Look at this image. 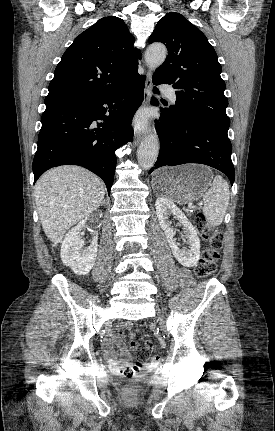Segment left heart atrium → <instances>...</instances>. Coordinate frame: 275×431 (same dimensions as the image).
<instances>
[{
  "label": "left heart atrium",
  "mask_w": 275,
  "mask_h": 431,
  "mask_svg": "<svg viewBox=\"0 0 275 431\" xmlns=\"http://www.w3.org/2000/svg\"><path fill=\"white\" fill-rule=\"evenodd\" d=\"M136 123L138 127H143L146 124V116L144 114L139 115Z\"/></svg>",
  "instance_id": "left-heart-atrium-1"
}]
</instances>
